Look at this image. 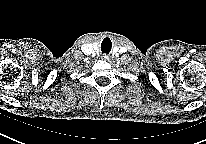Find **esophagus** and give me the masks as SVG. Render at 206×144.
Instances as JSON below:
<instances>
[{"label": "esophagus", "mask_w": 206, "mask_h": 144, "mask_svg": "<svg viewBox=\"0 0 206 144\" xmlns=\"http://www.w3.org/2000/svg\"><path fill=\"white\" fill-rule=\"evenodd\" d=\"M102 59H103V60H109V56L106 55V54H104V55L102 56Z\"/></svg>", "instance_id": "obj_1"}]
</instances>
